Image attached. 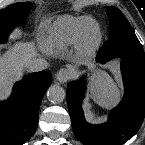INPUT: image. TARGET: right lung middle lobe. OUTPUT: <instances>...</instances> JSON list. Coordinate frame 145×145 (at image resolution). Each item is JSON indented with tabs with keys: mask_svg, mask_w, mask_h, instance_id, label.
<instances>
[{
	"mask_svg": "<svg viewBox=\"0 0 145 145\" xmlns=\"http://www.w3.org/2000/svg\"><path fill=\"white\" fill-rule=\"evenodd\" d=\"M30 6V3H15L0 10V43L7 39L13 27L25 22Z\"/></svg>",
	"mask_w": 145,
	"mask_h": 145,
	"instance_id": "1",
	"label": "right lung middle lobe"
}]
</instances>
